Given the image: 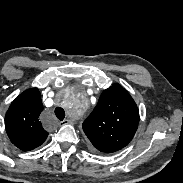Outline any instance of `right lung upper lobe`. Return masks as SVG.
Wrapping results in <instances>:
<instances>
[{
	"instance_id": "cb5924a9",
	"label": "right lung upper lobe",
	"mask_w": 183,
	"mask_h": 183,
	"mask_svg": "<svg viewBox=\"0 0 183 183\" xmlns=\"http://www.w3.org/2000/svg\"><path fill=\"white\" fill-rule=\"evenodd\" d=\"M43 110L40 92L37 88L21 93L10 105L6 117V132L11 142L23 151L40 146L48 133L39 121Z\"/></svg>"
}]
</instances>
